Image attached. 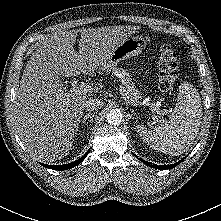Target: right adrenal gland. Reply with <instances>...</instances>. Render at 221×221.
I'll return each instance as SVG.
<instances>
[{"instance_id": "2a0ac1e0", "label": "right adrenal gland", "mask_w": 221, "mask_h": 221, "mask_svg": "<svg viewBox=\"0 0 221 221\" xmlns=\"http://www.w3.org/2000/svg\"><path fill=\"white\" fill-rule=\"evenodd\" d=\"M96 112L88 113L83 117V123L86 122L87 119H90V122H93V117L95 116Z\"/></svg>"}]
</instances>
